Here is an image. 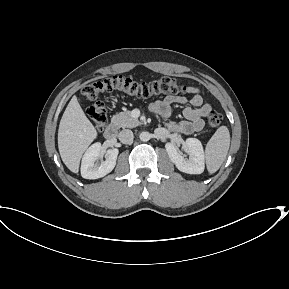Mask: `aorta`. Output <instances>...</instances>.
I'll use <instances>...</instances> for the list:
<instances>
[{
  "instance_id": "1",
  "label": "aorta",
  "mask_w": 289,
  "mask_h": 289,
  "mask_svg": "<svg viewBox=\"0 0 289 289\" xmlns=\"http://www.w3.org/2000/svg\"><path fill=\"white\" fill-rule=\"evenodd\" d=\"M139 138L141 141L147 142L150 140L151 134L149 132L144 131V132H141Z\"/></svg>"
}]
</instances>
